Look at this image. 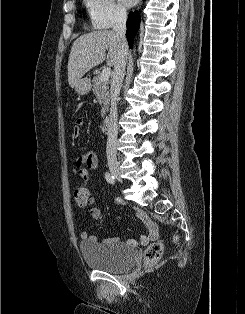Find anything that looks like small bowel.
Wrapping results in <instances>:
<instances>
[{
	"label": "small bowel",
	"instance_id": "1",
	"mask_svg": "<svg viewBox=\"0 0 245 314\" xmlns=\"http://www.w3.org/2000/svg\"><path fill=\"white\" fill-rule=\"evenodd\" d=\"M83 124L82 119H77L75 126L73 128L74 135L79 134V128ZM98 157L94 151H86L76 160L75 162V169L79 179L83 182H86L90 179L89 170L95 171L98 168ZM94 202V198H91L90 201V215L94 220H100L102 218V214L99 208L92 206ZM136 216L145 224L147 233L140 236L138 242L135 240H129L128 243L130 245L140 244L142 246L148 245L150 242L155 241L159 237V230L158 226L152 222L147 214L143 211L138 209L136 211ZM81 238L84 242H91L95 243L97 241V236L89 234L87 231H83L81 233ZM117 237H112L106 239L104 242H118Z\"/></svg>",
	"mask_w": 245,
	"mask_h": 314
}]
</instances>
